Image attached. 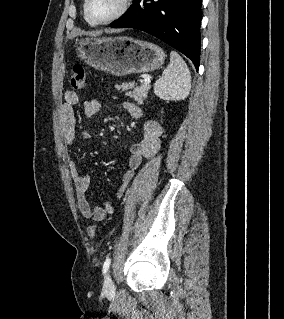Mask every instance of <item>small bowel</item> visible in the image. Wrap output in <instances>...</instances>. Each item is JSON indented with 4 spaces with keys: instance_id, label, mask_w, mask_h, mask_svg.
Instances as JSON below:
<instances>
[{
    "instance_id": "1",
    "label": "small bowel",
    "mask_w": 284,
    "mask_h": 319,
    "mask_svg": "<svg viewBox=\"0 0 284 319\" xmlns=\"http://www.w3.org/2000/svg\"><path fill=\"white\" fill-rule=\"evenodd\" d=\"M78 101V94L73 90H67L64 94V100L60 110L62 135L65 142L69 145H73L76 141V116L74 107ZM83 107L85 115L89 117L96 115L101 110V104L97 100H86ZM124 108L134 119L144 117L142 110L133 103H125ZM162 134L163 128L157 121L153 119L145 120L141 141L130 145L128 149L127 169L123 173L122 184L117 191L118 198L124 195L134 177L135 171L140 167L142 162L150 159L157 153ZM70 172L74 182L78 208L86 219L102 221L107 215L114 212V206L111 202H105L103 205H92L88 200L87 192L91 184L90 175H81L74 162L70 163Z\"/></svg>"
}]
</instances>
